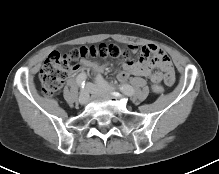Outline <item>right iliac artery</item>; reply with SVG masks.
<instances>
[{"mask_svg":"<svg viewBox=\"0 0 219 174\" xmlns=\"http://www.w3.org/2000/svg\"><path fill=\"white\" fill-rule=\"evenodd\" d=\"M86 78H87V76H86L85 73H80L77 76V78H76V82H77L78 86L84 88L85 82H86Z\"/></svg>","mask_w":219,"mask_h":174,"instance_id":"82829eb1","label":"right iliac artery"}]
</instances>
